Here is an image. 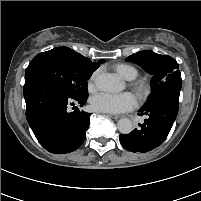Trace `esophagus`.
I'll list each match as a JSON object with an SVG mask.
<instances>
[{
    "label": "esophagus",
    "instance_id": "1",
    "mask_svg": "<svg viewBox=\"0 0 201 201\" xmlns=\"http://www.w3.org/2000/svg\"><path fill=\"white\" fill-rule=\"evenodd\" d=\"M109 116H110L111 118L115 119V120L121 118V116H119V115L109 114Z\"/></svg>",
    "mask_w": 201,
    "mask_h": 201
}]
</instances>
